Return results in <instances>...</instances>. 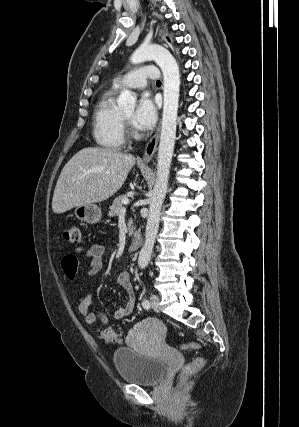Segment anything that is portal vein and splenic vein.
<instances>
[{
    "mask_svg": "<svg viewBox=\"0 0 299 427\" xmlns=\"http://www.w3.org/2000/svg\"><path fill=\"white\" fill-rule=\"evenodd\" d=\"M122 202H123V204H125V205H128V204H129V200H128V199H126V198H124V199L122 200ZM125 212H126V208H125V207L121 208V210H120V214H124Z\"/></svg>",
    "mask_w": 299,
    "mask_h": 427,
    "instance_id": "obj_1",
    "label": "portal vein and splenic vein"
}]
</instances>
